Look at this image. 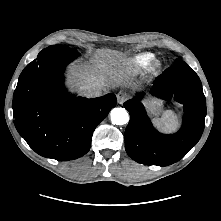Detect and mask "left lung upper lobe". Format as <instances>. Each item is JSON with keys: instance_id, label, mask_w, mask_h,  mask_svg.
I'll return each instance as SVG.
<instances>
[{"instance_id": "5c2ea615", "label": "left lung upper lobe", "mask_w": 221, "mask_h": 221, "mask_svg": "<svg viewBox=\"0 0 221 221\" xmlns=\"http://www.w3.org/2000/svg\"><path fill=\"white\" fill-rule=\"evenodd\" d=\"M182 63V60L181 59H177L176 61H175V64H181Z\"/></svg>"}]
</instances>
